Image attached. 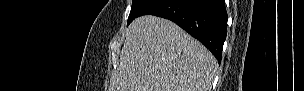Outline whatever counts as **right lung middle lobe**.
<instances>
[{
  "label": "right lung middle lobe",
  "instance_id": "right-lung-middle-lobe-1",
  "mask_svg": "<svg viewBox=\"0 0 304 91\" xmlns=\"http://www.w3.org/2000/svg\"><path fill=\"white\" fill-rule=\"evenodd\" d=\"M150 0H133L131 11L128 17V23L129 25L136 17L139 16L141 10L144 8V6L149 2Z\"/></svg>",
  "mask_w": 304,
  "mask_h": 91
}]
</instances>
